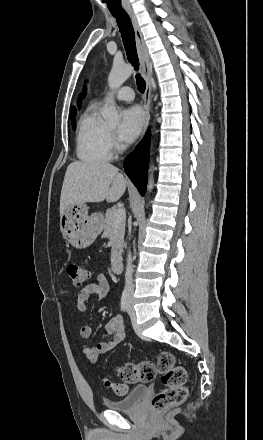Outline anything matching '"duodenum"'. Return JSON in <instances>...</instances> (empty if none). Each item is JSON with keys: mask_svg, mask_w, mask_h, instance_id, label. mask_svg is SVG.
Returning a JSON list of instances; mask_svg holds the SVG:
<instances>
[{"mask_svg": "<svg viewBox=\"0 0 263 440\" xmlns=\"http://www.w3.org/2000/svg\"><path fill=\"white\" fill-rule=\"evenodd\" d=\"M111 269H112L113 273H116V274L121 273V271H122V263H121V261L115 259L113 261V263H112Z\"/></svg>", "mask_w": 263, "mask_h": 440, "instance_id": "410a0bca", "label": "duodenum"}]
</instances>
